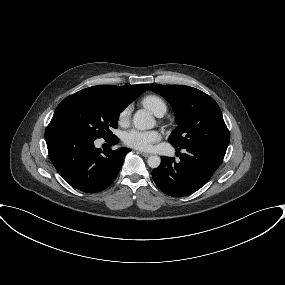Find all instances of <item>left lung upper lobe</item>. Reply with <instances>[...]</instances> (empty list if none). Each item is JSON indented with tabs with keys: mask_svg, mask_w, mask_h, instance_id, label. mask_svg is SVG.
I'll return each instance as SVG.
<instances>
[{
	"mask_svg": "<svg viewBox=\"0 0 285 285\" xmlns=\"http://www.w3.org/2000/svg\"><path fill=\"white\" fill-rule=\"evenodd\" d=\"M173 107L178 127L169 142L175 148L195 145L227 149L230 134L218 104L206 93L184 85H151Z\"/></svg>",
	"mask_w": 285,
	"mask_h": 285,
	"instance_id": "obj_1",
	"label": "left lung upper lobe"
}]
</instances>
